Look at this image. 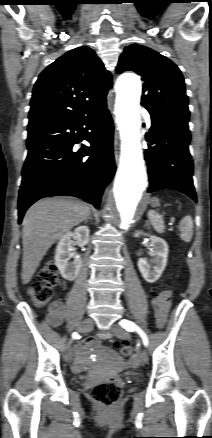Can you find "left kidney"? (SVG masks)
I'll use <instances>...</instances> for the list:
<instances>
[{
    "label": "left kidney",
    "mask_w": 212,
    "mask_h": 438,
    "mask_svg": "<svg viewBox=\"0 0 212 438\" xmlns=\"http://www.w3.org/2000/svg\"><path fill=\"white\" fill-rule=\"evenodd\" d=\"M140 235L149 236L151 240V246L153 247V266L148 264L144 258L138 260V268L142 277L149 283L157 281L162 272L164 271L167 263L168 245L166 241L160 237L149 235L142 231H137L135 237Z\"/></svg>",
    "instance_id": "left-kidney-1"
}]
</instances>
